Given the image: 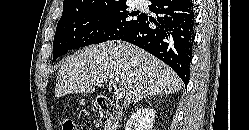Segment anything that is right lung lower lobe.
I'll list each match as a JSON object with an SVG mask.
<instances>
[{
    "label": "right lung lower lobe",
    "instance_id": "obj_1",
    "mask_svg": "<svg viewBox=\"0 0 249 130\" xmlns=\"http://www.w3.org/2000/svg\"><path fill=\"white\" fill-rule=\"evenodd\" d=\"M157 20L142 18L118 40L135 44L169 65L185 85L189 80L195 13L191 0H151ZM153 22L156 28H150Z\"/></svg>",
    "mask_w": 249,
    "mask_h": 130
}]
</instances>
